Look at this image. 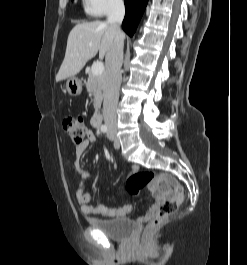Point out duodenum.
<instances>
[{
    "label": "duodenum",
    "mask_w": 247,
    "mask_h": 265,
    "mask_svg": "<svg viewBox=\"0 0 247 265\" xmlns=\"http://www.w3.org/2000/svg\"><path fill=\"white\" fill-rule=\"evenodd\" d=\"M102 124V116L100 114L96 115L93 120V125L96 129H99Z\"/></svg>",
    "instance_id": "410a0bca"
}]
</instances>
